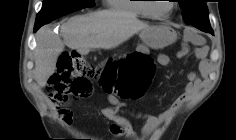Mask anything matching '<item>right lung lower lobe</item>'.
<instances>
[{
	"label": "right lung lower lobe",
	"instance_id": "obj_1",
	"mask_svg": "<svg viewBox=\"0 0 236 140\" xmlns=\"http://www.w3.org/2000/svg\"><path fill=\"white\" fill-rule=\"evenodd\" d=\"M38 28H40V27H38V26H37V27H34V32H35Z\"/></svg>",
	"mask_w": 236,
	"mask_h": 140
}]
</instances>
